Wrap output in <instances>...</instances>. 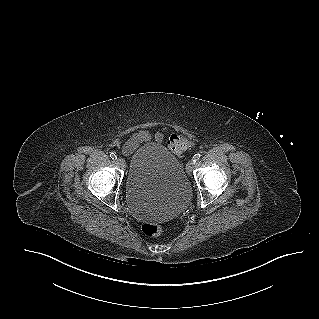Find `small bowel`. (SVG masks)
Instances as JSON below:
<instances>
[{"mask_svg":"<svg viewBox=\"0 0 319 319\" xmlns=\"http://www.w3.org/2000/svg\"><path fill=\"white\" fill-rule=\"evenodd\" d=\"M151 139H154L155 141H162L163 134L161 132L150 133L145 130L138 131L123 144L122 151L124 154H130L136 150L140 144Z\"/></svg>","mask_w":319,"mask_h":319,"instance_id":"1","label":"small bowel"}]
</instances>
